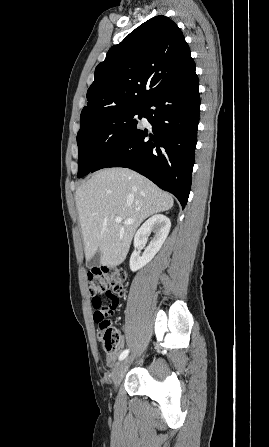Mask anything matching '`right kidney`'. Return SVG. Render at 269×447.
I'll return each instance as SVG.
<instances>
[{"instance_id": "right-kidney-1", "label": "right kidney", "mask_w": 269, "mask_h": 447, "mask_svg": "<svg viewBox=\"0 0 269 447\" xmlns=\"http://www.w3.org/2000/svg\"><path fill=\"white\" fill-rule=\"evenodd\" d=\"M171 227V222L167 216H163V214H155L149 220H146L144 224L139 227L137 233H135L134 237V251L131 253L130 257V269L132 271H137L146 263H149L151 259H153L154 255H156L157 251H159L160 247H162ZM151 231H154V237L151 239L149 245H147L144 253L140 255L139 251H137L138 245H143L146 243L147 237Z\"/></svg>"}]
</instances>
